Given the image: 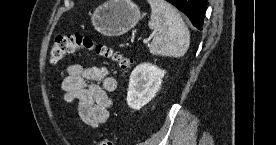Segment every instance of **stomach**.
Wrapping results in <instances>:
<instances>
[{
    "mask_svg": "<svg viewBox=\"0 0 276 145\" xmlns=\"http://www.w3.org/2000/svg\"><path fill=\"white\" fill-rule=\"evenodd\" d=\"M141 19L139 7L130 0H109L95 9L91 17L94 28L106 36H120Z\"/></svg>",
    "mask_w": 276,
    "mask_h": 145,
    "instance_id": "stomach-1",
    "label": "stomach"
}]
</instances>
